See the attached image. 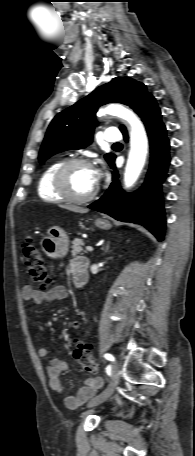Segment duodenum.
Masks as SVG:
<instances>
[{
  "mask_svg": "<svg viewBox=\"0 0 195 456\" xmlns=\"http://www.w3.org/2000/svg\"><path fill=\"white\" fill-rule=\"evenodd\" d=\"M89 280L88 262H84L74 273V283L78 287H83Z\"/></svg>",
  "mask_w": 195,
  "mask_h": 456,
  "instance_id": "1",
  "label": "duodenum"
}]
</instances>
